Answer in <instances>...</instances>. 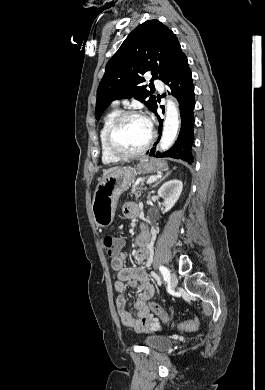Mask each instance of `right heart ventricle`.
Listing matches in <instances>:
<instances>
[{
	"label": "right heart ventricle",
	"instance_id": "1",
	"mask_svg": "<svg viewBox=\"0 0 265 390\" xmlns=\"http://www.w3.org/2000/svg\"><path fill=\"white\" fill-rule=\"evenodd\" d=\"M119 113H120L119 109L117 108H114L110 112H108L103 119V123L100 129L99 140H100V149H101V160L104 164H112L120 161L119 158L114 156L108 150L107 143H106V135L108 129Z\"/></svg>",
	"mask_w": 265,
	"mask_h": 390
}]
</instances>
